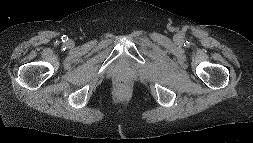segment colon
Instances as JSON below:
<instances>
[{"label": "colon", "instance_id": "colon-1", "mask_svg": "<svg viewBox=\"0 0 253 143\" xmlns=\"http://www.w3.org/2000/svg\"><path fill=\"white\" fill-rule=\"evenodd\" d=\"M117 87H118L119 89H124V88H126V87H127V81L124 80V79L118 80V81H117Z\"/></svg>", "mask_w": 253, "mask_h": 143}]
</instances>
